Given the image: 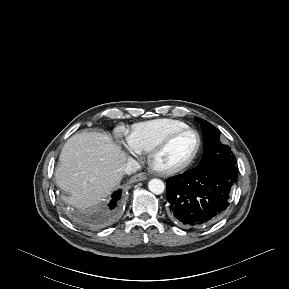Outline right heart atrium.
Instances as JSON below:
<instances>
[{
    "label": "right heart atrium",
    "instance_id": "d8ad5b80",
    "mask_svg": "<svg viewBox=\"0 0 289 289\" xmlns=\"http://www.w3.org/2000/svg\"><path fill=\"white\" fill-rule=\"evenodd\" d=\"M126 147L131 153H138V151L130 144L129 140L127 141Z\"/></svg>",
    "mask_w": 289,
    "mask_h": 289
}]
</instances>
